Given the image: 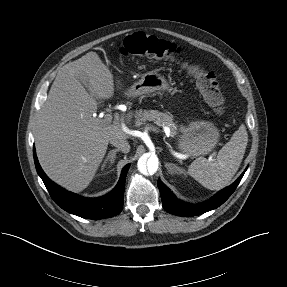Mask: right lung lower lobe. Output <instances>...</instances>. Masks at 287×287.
<instances>
[{
  "mask_svg": "<svg viewBox=\"0 0 287 287\" xmlns=\"http://www.w3.org/2000/svg\"><path fill=\"white\" fill-rule=\"evenodd\" d=\"M34 162L37 173L43 180L50 196L65 211L87 219H104L119 214L123 208V194L125 179L130 164H127L121 173L115 188L107 195L99 198H85L71 193L51 181L43 172L35 148L33 149Z\"/></svg>",
  "mask_w": 287,
  "mask_h": 287,
  "instance_id": "right-lung-lower-lobe-1",
  "label": "right lung lower lobe"
}]
</instances>
